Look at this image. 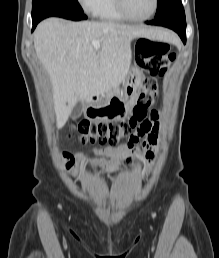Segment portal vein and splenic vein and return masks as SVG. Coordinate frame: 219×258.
I'll use <instances>...</instances> for the list:
<instances>
[{
  "label": "portal vein and splenic vein",
  "instance_id": "1",
  "mask_svg": "<svg viewBox=\"0 0 219 258\" xmlns=\"http://www.w3.org/2000/svg\"><path fill=\"white\" fill-rule=\"evenodd\" d=\"M92 45L95 48V50H99L100 49V42L99 41H92Z\"/></svg>",
  "mask_w": 219,
  "mask_h": 258
}]
</instances>
